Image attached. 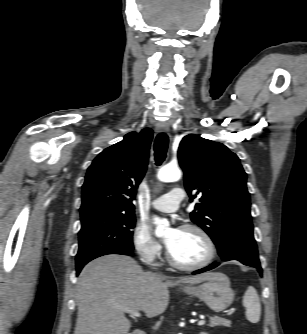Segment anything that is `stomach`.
I'll return each mask as SVG.
<instances>
[{
    "instance_id": "0dacf381",
    "label": "stomach",
    "mask_w": 307,
    "mask_h": 334,
    "mask_svg": "<svg viewBox=\"0 0 307 334\" xmlns=\"http://www.w3.org/2000/svg\"><path fill=\"white\" fill-rule=\"evenodd\" d=\"M183 291L190 296L198 297L215 312L229 307L235 296L228 277L219 272L213 273L212 278L201 285L187 286Z\"/></svg>"
}]
</instances>
